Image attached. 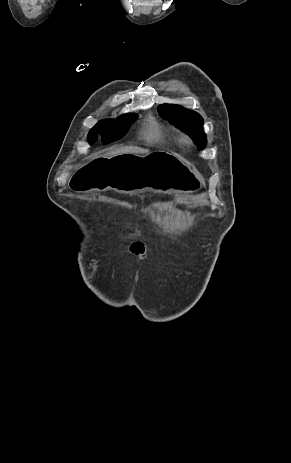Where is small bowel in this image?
I'll return each mask as SVG.
<instances>
[{
	"label": "small bowel",
	"mask_w": 291,
	"mask_h": 463,
	"mask_svg": "<svg viewBox=\"0 0 291 463\" xmlns=\"http://www.w3.org/2000/svg\"><path fill=\"white\" fill-rule=\"evenodd\" d=\"M131 251L139 257H144L146 253L145 244L140 240H136L131 245Z\"/></svg>",
	"instance_id": "1"
}]
</instances>
